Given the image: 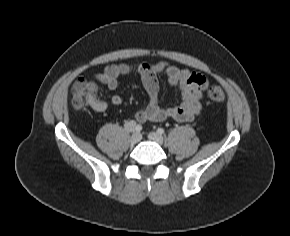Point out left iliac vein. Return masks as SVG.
I'll return each mask as SVG.
<instances>
[{
    "label": "left iliac vein",
    "mask_w": 290,
    "mask_h": 236,
    "mask_svg": "<svg viewBox=\"0 0 290 236\" xmlns=\"http://www.w3.org/2000/svg\"><path fill=\"white\" fill-rule=\"evenodd\" d=\"M149 139L160 144V145L163 144V142H164L163 136L157 132H150Z\"/></svg>",
    "instance_id": "1"
}]
</instances>
